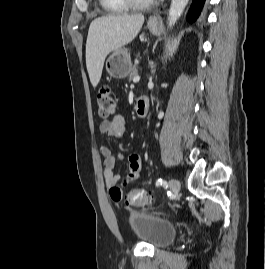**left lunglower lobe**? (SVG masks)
Segmentation results:
<instances>
[{
  "label": "left lung lower lobe",
  "instance_id": "0a47b994",
  "mask_svg": "<svg viewBox=\"0 0 265 269\" xmlns=\"http://www.w3.org/2000/svg\"><path fill=\"white\" fill-rule=\"evenodd\" d=\"M204 2L205 0H193L187 17L189 22H194L198 18L204 6Z\"/></svg>",
  "mask_w": 265,
  "mask_h": 269
}]
</instances>
